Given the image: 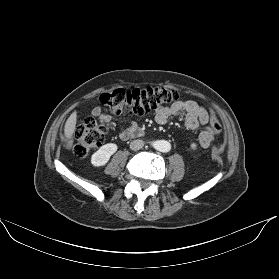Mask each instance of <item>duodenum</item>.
Instances as JSON below:
<instances>
[{
  "instance_id": "1",
  "label": "duodenum",
  "mask_w": 279,
  "mask_h": 279,
  "mask_svg": "<svg viewBox=\"0 0 279 279\" xmlns=\"http://www.w3.org/2000/svg\"><path fill=\"white\" fill-rule=\"evenodd\" d=\"M143 135H144V131L136 127L125 131V136L127 138L142 137Z\"/></svg>"
}]
</instances>
